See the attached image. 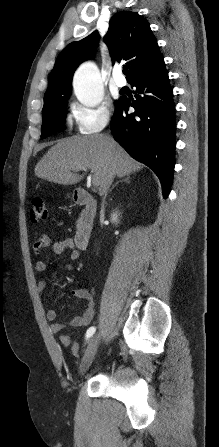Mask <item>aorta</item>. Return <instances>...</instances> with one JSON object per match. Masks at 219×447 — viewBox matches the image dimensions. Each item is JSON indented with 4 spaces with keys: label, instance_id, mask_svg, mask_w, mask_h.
I'll return each mask as SVG.
<instances>
[{
    "label": "aorta",
    "instance_id": "1",
    "mask_svg": "<svg viewBox=\"0 0 219 447\" xmlns=\"http://www.w3.org/2000/svg\"><path fill=\"white\" fill-rule=\"evenodd\" d=\"M74 91L80 103L88 107H96L103 99V89L99 71L92 62L82 64L75 72Z\"/></svg>",
    "mask_w": 219,
    "mask_h": 447
}]
</instances>
